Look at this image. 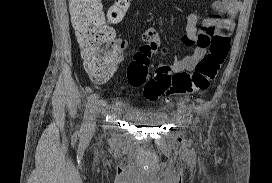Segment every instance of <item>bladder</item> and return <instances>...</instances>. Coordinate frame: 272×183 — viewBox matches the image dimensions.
Instances as JSON below:
<instances>
[{"label": "bladder", "instance_id": "bladder-1", "mask_svg": "<svg viewBox=\"0 0 272 183\" xmlns=\"http://www.w3.org/2000/svg\"><path fill=\"white\" fill-rule=\"evenodd\" d=\"M136 123L144 126H149V125H155L162 123L164 121V118H151V117H143V118H138L135 119Z\"/></svg>", "mask_w": 272, "mask_h": 183}]
</instances>
